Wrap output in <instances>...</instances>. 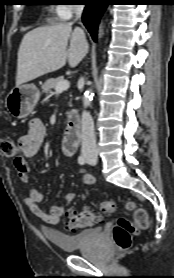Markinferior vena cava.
I'll return each mask as SVG.
<instances>
[{"label": "inferior vena cava", "instance_id": "inferior-vena-cava-1", "mask_svg": "<svg viewBox=\"0 0 174 278\" xmlns=\"http://www.w3.org/2000/svg\"><path fill=\"white\" fill-rule=\"evenodd\" d=\"M83 12V5L75 6L76 17L80 18ZM84 78L81 77L79 83H83ZM82 125V153L83 154H97L98 149L96 145V139L94 135V122L89 112L83 111L81 117Z\"/></svg>", "mask_w": 174, "mask_h": 278}]
</instances>
